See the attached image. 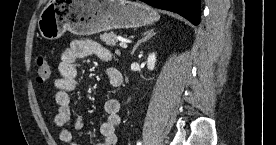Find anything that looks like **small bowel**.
Returning <instances> with one entry per match:
<instances>
[{"instance_id": "c3829d8e", "label": "small bowel", "mask_w": 276, "mask_h": 145, "mask_svg": "<svg viewBox=\"0 0 276 145\" xmlns=\"http://www.w3.org/2000/svg\"><path fill=\"white\" fill-rule=\"evenodd\" d=\"M95 54L104 61H111L114 55L110 50L89 39H77L64 49L58 69L60 77L54 82L56 93V115L54 118L59 128V139L67 145H76L73 140L71 129L80 130L84 127V119L81 115L72 118L71 92L76 88L78 76V62L82 58ZM118 71L114 68L106 70V76L110 83L117 76ZM120 103L115 98H108L104 103L106 120L100 127L102 142L99 145H116V127L121 122Z\"/></svg>"}]
</instances>
